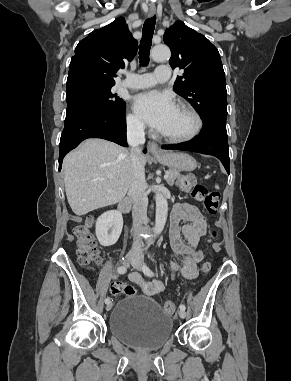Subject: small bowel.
<instances>
[{"label": "small bowel", "mask_w": 291, "mask_h": 381, "mask_svg": "<svg viewBox=\"0 0 291 381\" xmlns=\"http://www.w3.org/2000/svg\"><path fill=\"white\" fill-rule=\"evenodd\" d=\"M205 230L206 220L196 206L184 204L174 209L170 222V244L177 254L183 256L180 272L187 279L198 274L197 264L201 258L199 246ZM173 268L177 270L178 266L174 264ZM128 278L149 296L157 295L164 289L161 281H146L139 273L132 272Z\"/></svg>", "instance_id": "obj_1"}]
</instances>
